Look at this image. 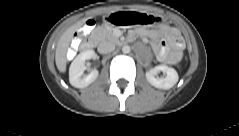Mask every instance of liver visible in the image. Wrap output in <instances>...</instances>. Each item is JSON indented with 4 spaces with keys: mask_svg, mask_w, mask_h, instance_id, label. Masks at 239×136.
I'll return each mask as SVG.
<instances>
[{
    "mask_svg": "<svg viewBox=\"0 0 239 136\" xmlns=\"http://www.w3.org/2000/svg\"><path fill=\"white\" fill-rule=\"evenodd\" d=\"M87 18L79 20L74 25L70 26L60 37L56 53L55 62L58 70L62 73L66 71V53L69 47L70 41L73 38L74 33L86 22Z\"/></svg>",
    "mask_w": 239,
    "mask_h": 136,
    "instance_id": "6515ba94",
    "label": "liver"
}]
</instances>
